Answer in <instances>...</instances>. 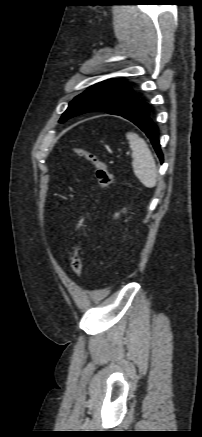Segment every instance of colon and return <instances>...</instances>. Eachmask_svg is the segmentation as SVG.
<instances>
[{
	"label": "colon",
	"mask_w": 202,
	"mask_h": 437,
	"mask_svg": "<svg viewBox=\"0 0 202 437\" xmlns=\"http://www.w3.org/2000/svg\"><path fill=\"white\" fill-rule=\"evenodd\" d=\"M74 153L78 157L85 159L93 165L95 168L98 189L106 190L112 183V176L107 168L106 163L95 153L82 148H75ZM83 236L84 233H81L71 257V269L73 274L77 277L81 275L83 267L80 243V240Z\"/></svg>",
	"instance_id": "1"
}]
</instances>
